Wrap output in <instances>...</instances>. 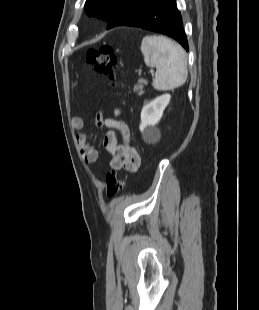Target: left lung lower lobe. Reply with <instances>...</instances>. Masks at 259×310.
Here are the masks:
<instances>
[{"mask_svg":"<svg viewBox=\"0 0 259 310\" xmlns=\"http://www.w3.org/2000/svg\"><path fill=\"white\" fill-rule=\"evenodd\" d=\"M115 26H133L158 32L175 39L189 50L175 0H149L129 10Z\"/></svg>","mask_w":259,"mask_h":310,"instance_id":"left-lung-lower-lobe-1","label":"left lung lower lobe"}]
</instances>
